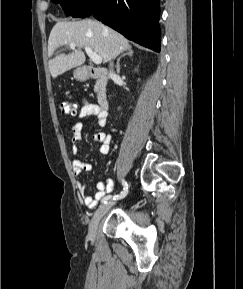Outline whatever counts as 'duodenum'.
<instances>
[{
  "mask_svg": "<svg viewBox=\"0 0 243 289\" xmlns=\"http://www.w3.org/2000/svg\"><path fill=\"white\" fill-rule=\"evenodd\" d=\"M84 74L88 78H92L98 81L97 90V102L103 110L108 109V95H107V83H108V72L104 68L86 66L84 68Z\"/></svg>",
  "mask_w": 243,
  "mask_h": 289,
  "instance_id": "410a0bca",
  "label": "duodenum"
}]
</instances>
